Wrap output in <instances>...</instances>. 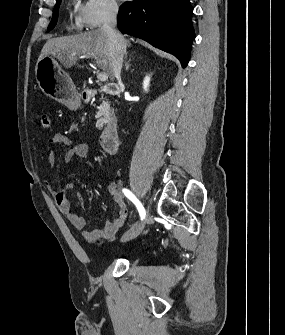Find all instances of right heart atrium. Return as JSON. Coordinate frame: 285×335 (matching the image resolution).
<instances>
[{"label": "right heart atrium", "instance_id": "right-heart-atrium-1", "mask_svg": "<svg viewBox=\"0 0 285 335\" xmlns=\"http://www.w3.org/2000/svg\"><path fill=\"white\" fill-rule=\"evenodd\" d=\"M120 12L118 1H86L76 11L75 19L89 30H96L116 19Z\"/></svg>", "mask_w": 285, "mask_h": 335}]
</instances>
